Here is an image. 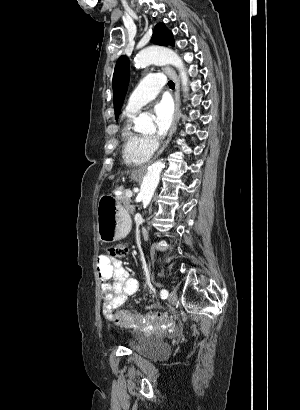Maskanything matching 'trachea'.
I'll return each mask as SVG.
<instances>
[{"label": "trachea", "mask_w": 300, "mask_h": 410, "mask_svg": "<svg viewBox=\"0 0 300 410\" xmlns=\"http://www.w3.org/2000/svg\"><path fill=\"white\" fill-rule=\"evenodd\" d=\"M168 86H169L171 89H174V88H175V84H174L173 81H169V82H168Z\"/></svg>", "instance_id": "1"}]
</instances>
